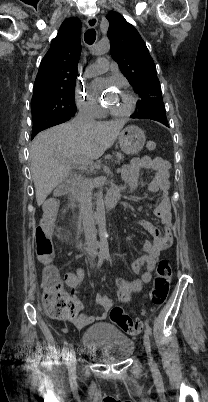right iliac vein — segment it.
<instances>
[{
	"mask_svg": "<svg viewBox=\"0 0 208 402\" xmlns=\"http://www.w3.org/2000/svg\"><path fill=\"white\" fill-rule=\"evenodd\" d=\"M68 366L69 369L74 372L76 369V355L74 349H70L68 354Z\"/></svg>",
	"mask_w": 208,
	"mask_h": 402,
	"instance_id": "1",
	"label": "right iliac vein"
}]
</instances>
